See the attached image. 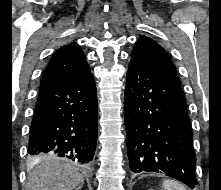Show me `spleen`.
Wrapping results in <instances>:
<instances>
[{
  "label": "spleen",
  "instance_id": "1",
  "mask_svg": "<svg viewBox=\"0 0 221 190\" xmlns=\"http://www.w3.org/2000/svg\"><path fill=\"white\" fill-rule=\"evenodd\" d=\"M162 186L165 190H186V188L182 184L169 179L164 180Z\"/></svg>",
  "mask_w": 221,
  "mask_h": 190
}]
</instances>
